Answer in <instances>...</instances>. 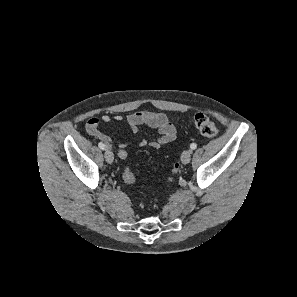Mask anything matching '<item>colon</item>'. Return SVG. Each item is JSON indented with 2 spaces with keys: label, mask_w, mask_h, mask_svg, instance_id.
Here are the masks:
<instances>
[{
  "label": "colon",
  "mask_w": 297,
  "mask_h": 297,
  "mask_svg": "<svg viewBox=\"0 0 297 297\" xmlns=\"http://www.w3.org/2000/svg\"><path fill=\"white\" fill-rule=\"evenodd\" d=\"M194 125L196 129L206 137H215L219 133V127L217 124L212 121L208 116L202 113H198L194 116ZM118 158L124 159L127 156L126 151L120 150L117 153ZM179 171V165L175 164L173 167V176L177 174ZM170 177V179L173 178ZM123 180L126 184L132 185L135 183L136 179L134 173L129 169L126 168L123 173Z\"/></svg>",
  "instance_id": "colon-1"
}]
</instances>
